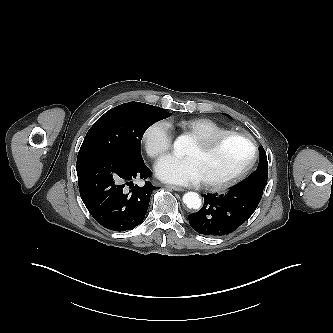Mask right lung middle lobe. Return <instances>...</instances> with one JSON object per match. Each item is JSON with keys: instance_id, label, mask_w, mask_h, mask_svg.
<instances>
[{"instance_id": "dd1d6c3e", "label": "right lung middle lobe", "mask_w": 333, "mask_h": 333, "mask_svg": "<svg viewBox=\"0 0 333 333\" xmlns=\"http://www.w3.org/2000/svg\"><path fill=\"white\" fill-rule=\"evenodd\" d=\"M171 116L162 108L128 102L102 115L87 132L79 155L107 153L142 162L141 139L153 123Z\"/></svg>"}]
</instances>
